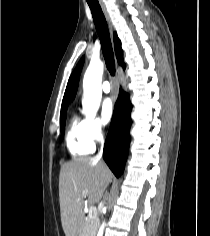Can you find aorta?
Masks as SVG:
<instances>
[{
  "mask_svg": "<svg viewBox=\"0 0 210 236\" xmlns=\"http://www.w3.org/2000/svg\"><path fill=\"white\" fill-rule=\"evenodd\" d=\"M104 64L100 60L92 59L85 72L83 79V113L89 118H94L99 109L102 98V75ZM104 223L102 224L99 235L102 234Z\"/></svg>",
  "mask_w": 210,
  "mask_h": 236,
  "instance_id": "aorta-1",
  "label": "aorta"
}]
</instances>
